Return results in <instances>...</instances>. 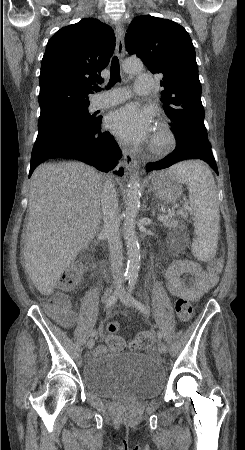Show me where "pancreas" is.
<instances>
[{
  "label": "pancreas",
  "instance_id": "obj_1",
  "mask_svg": "<svg viewBox=\"0 0 245 450\" xmlns=\"http://www.w3.org/2000/svg\"><path fill=\"white\" fill-rule=\"evenodd\" d=\"M187 215L185 214V218ZM163 226L167 227L169 229L176 230L178 227V220L174 219L173 217H169L167 220L163 221ZM181 228H184V226H181Z\"/></svg>",
  "mask_w": 245,
  "mask_h": 450
}]
</instances>
